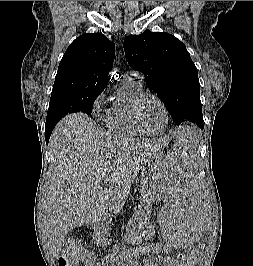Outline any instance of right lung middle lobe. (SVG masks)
<instances>
[{"instance_id": "right-lung-middle-lobe-1", "label": "right lung middle lobe", "mask_w": 253, "mask_h": 266, "mask_svg": "<svg viewBox=\"0 0 253 266\" xmlns=\"http://www.w3.org/2000/svg\"><path fill=\"white\" fill-rule=\"evenodd\" d=\"M102 91L78 96H60L51 98L46 123L58 122L67 114L85 112L91 114L95 99Z\"/></svg>"}]
</instances>
